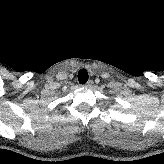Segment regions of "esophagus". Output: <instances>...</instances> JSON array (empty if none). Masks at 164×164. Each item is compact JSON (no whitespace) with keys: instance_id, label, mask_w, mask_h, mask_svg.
Returning a JSON list of instances; mask_svg holds the SVG:
<instances>
[{"instance_id":"esophagus-1","label":"esophagus","mask_w":164,"mask_h":164,"mask_svg":"<svg viewBox=\"0 0 164 164\" xmlns=\"http://www.w3.org/2000/svg\"><path fill=\"white\" fill-rule=\"evenodd\" d=\"M93 84H94L93 80H89V81L85 84V86H86L87 88H91V87L93 86Z\"/></svg>"}]
</instances>
